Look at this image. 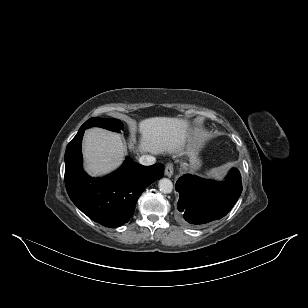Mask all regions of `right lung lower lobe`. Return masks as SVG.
Instances as JSON below:
<instances>
[{
	"mask_svg": "<svg viewBox=\"0 0 308 308\" xmlns=\"http://www.w3.org/2000/svg\"><path fill=\"white\" fill-rule=\"evenodd\" d=\"M81 127L65 151V184L73 203L90 219L107 227H118L132 217L137 199L157 179L163 164L143 166L127 158L123 166L104 178H92L82 168Z\"/></svg>",
	"mask_w": 308,
	"mask_h": 308,
	"instance_id": "98d812e1",
	"label": "right lung lower lobe"
}]
</instances>
